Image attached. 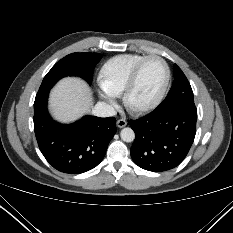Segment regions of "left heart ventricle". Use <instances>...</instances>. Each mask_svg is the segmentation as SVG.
I'll use <instances>...</instances> for the list:
<instances>
[{
    "mask_svg": "<svg viewBox=\"0 0 233 233\" xmlns=\"http://www.w3.org/2000/svg\"><path fill=\"white\" fill-rule=\"evenodd\" d=\"M165 79V68L158 59H150L141 68L131 100L135 105L152 101L161 90Z\"/></svg>",
    "mask_w": 233,
    "mask_h": 233,
    "instance_id": "b2bd125f",
    "label": "left heart ventricle"
}]
</instances>
